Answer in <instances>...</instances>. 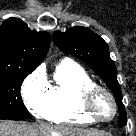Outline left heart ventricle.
Here are the masks:
<instances>
[{
	"instance_id": "1",
	"label": "left heart ventricle",
	"mask_w": 136,
	"mask_h": 136,
	"mask_svg": "<svg viewBox=\"0 0 136 136\" xmlns=\"http://www.w3.org/2000/svg\"><path fill=\"white\" fill-rule=\"evenodd\" d=\"M95 109L97 113L104 118L110 117L113 113L112 103L110 99L104 94H100L97 97L95 102Z\"/></svg>"
}]
</instances>
